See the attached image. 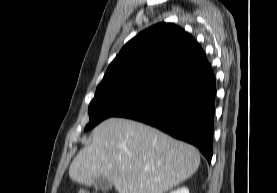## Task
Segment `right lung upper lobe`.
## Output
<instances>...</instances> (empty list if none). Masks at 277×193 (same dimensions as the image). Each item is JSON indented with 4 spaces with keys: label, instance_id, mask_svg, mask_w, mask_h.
<instances>
[{
    "label": "right lung upper lobe",
    "instance_id": "1",
    "mask_svg": "<svg viewBox=\"0 0 277 193\" xmlns=\"http://www.w3.org/2000/svg\"><path fill=\"white\" fill-rule=\"evenodd\" d=\"M208 64L198 42L171 23H159L131 39L109 65L97 89L156 90Z\"/></svg>",
    "mask_w": 277,
    "mask_h": 193
}]
</instances>
